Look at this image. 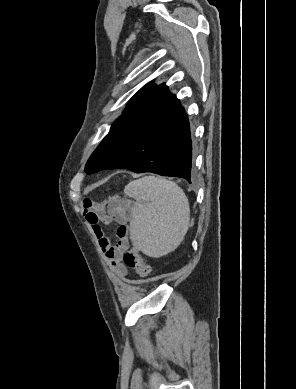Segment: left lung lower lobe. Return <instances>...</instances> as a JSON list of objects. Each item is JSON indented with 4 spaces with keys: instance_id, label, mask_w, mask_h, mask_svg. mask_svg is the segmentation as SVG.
<instances>
[{
    "instance_id": "0a47b994",
    "label": "left lung lower lobe",
    "mask_w": 296,
    "mask_h": 389,
    "mask_svg": "<svg viewBox=\"0 0 296 389\" xmlns=\"http://www.w3.org/2000/svg\"><path fill=\"white\" fill-rule=\"evenodd\" d=\"M98 171L116 168L191 183L193 127L165 84L117 119L94 151Z\"/></svg>"
}]
</instances>
